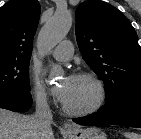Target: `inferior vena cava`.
Returning <instances> with one entry per match:
<instances>
[{"label":"inferior vena cava","instance_id":"1","mask_svg":"<svg viewBox=\"0 0 141 139\" xmlns=\"http://www.w3.org/2000/svg\"><path fill=\"white\" fill-rule=\"evenodd\" d=\"M35 126V139H45L51 131L52 113L44 93L36 95V111L33 116Z\"/></svg>","mask_w":141,"mask_h":139}]
</instances>
